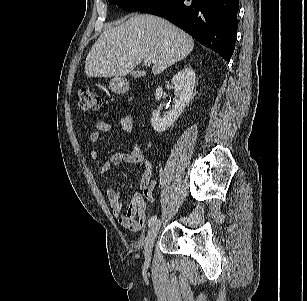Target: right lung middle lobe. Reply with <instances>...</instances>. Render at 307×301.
<instances>
[{
    "mask_svg": "<svg viewBox=\"0 0 307 301\" xmlns=\"http://www.w3.org/2000/svg\"><path fill=\"white\" fill-rule=\"evenodd\" d=\"M109 3L118 5L127 11H140L157 0H108Z\"/></svg>",
    "mask_w": 307,
    "mask_h": 301,
    "instance_id": "1",
    "label": "right lung middle lobe"
}]
</instances>
